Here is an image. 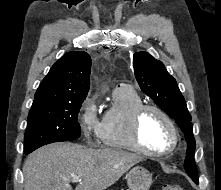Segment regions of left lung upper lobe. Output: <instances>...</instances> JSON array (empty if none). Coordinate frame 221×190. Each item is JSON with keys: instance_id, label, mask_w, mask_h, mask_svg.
<instances>
[{"instance_id": "5c2ea615", "label": "left lung upper lobe", "mask_w": 221, "mask_h": 190, "mask_svg": "<svg viewBox=\"0 0 221 190\" xmlns=\"http://www.w3.org/2000/svg\"><path fill=\"white\" fill-rule=\"evenodd\" d=\"M133 68L141 90L173 118L184 132L187 141L184 168L194 182L198 181V171L194 161L196 143L192 118L176 80L167 72L161 61L147 52L134 54Z\"/></svg>"}]
</instances>
